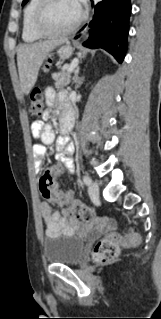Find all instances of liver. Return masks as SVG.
Masks as SVG:
<instances>
[{"label":"liver","mask_w":161,"mask_h":319,"mask_svg":"<svg viewBox=\"0 0 161 319\" xmlns=\"http://www.w3.org/2000/svg\"><path fill=\"white\" fill-rule=\"evenodd\" d=\"M58 44V41L47 40L18 46L17 65L21 88L25 95H28L35 85L44 59Z\"/></svg>","instance_id":"6515ba94"}]
</instances>
